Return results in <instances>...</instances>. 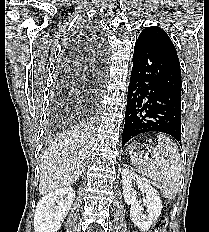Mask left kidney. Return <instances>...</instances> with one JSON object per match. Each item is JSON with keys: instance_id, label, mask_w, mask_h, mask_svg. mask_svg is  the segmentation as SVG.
<instances>
[{"instance_id": "obj_1", "label": "left kidney", "mask_w": 209, "mask_h": 232, "mask_svg": "<svg viewBox=\"0 0 209 232\" xmlns=\"http://www.w3.org/2000/svg\"><path fill=\"white\" fill-rule=\"evenodd\" d=\"M135 186L145 194L143 199L138 200ZM122 188L125 202L131 205L132 222L141 230H148L161 214L162 202L158 192L147 179L137 175L128 165L122 168ZM144 206L147 208L148 215L143 213Z\"/></svg>"}]
</instances>
